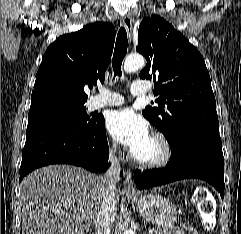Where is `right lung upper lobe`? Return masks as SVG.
<instances>
[{
    "label": "right lung upper lobe",
    "mask_w": 241,
    "mask_h": 234,
    "mask_svg": "<svg viewBox=\"0 0 241 234\" xmlns=\"http://www.w3.org/2000/svg\"><path fill=\"white\" fill-rule=\"evenodd\" d=\"M114 40L115 28L107 22L57 38L44 53L31 105L55 100L85 104L84 86L104 82Z\"/></svg>",
    "instance_id": "1"
}]
</instances>
